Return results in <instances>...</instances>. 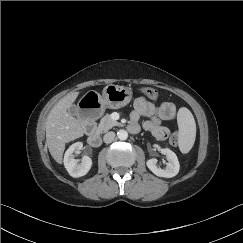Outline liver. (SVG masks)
<instances>
[{"mask_svg": "<svg viewBox=\"0 0 243 243\" xmlns=\"http://www.w3.org/2000/svg\"><path fill=\"white\" fill-rule=\"evenodd\" d=\"M79 92H70L51 109L46 121V143L53 159L61 164L65 144L80 138L84 127L75 117L68 113Z\"/></svg>", "mask_w": 243, "mask_h": 243, "instance_id": "1", "label": "liver"}]
</instances>
